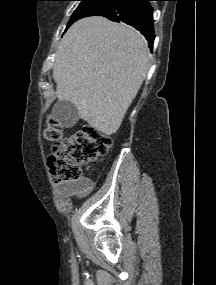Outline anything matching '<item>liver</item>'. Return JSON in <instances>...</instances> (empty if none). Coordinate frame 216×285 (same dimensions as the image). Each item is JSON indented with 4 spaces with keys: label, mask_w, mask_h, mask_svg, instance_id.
<instances>
[{
    "label": "liver",
    "mask_w": 216,
    "mask_h": 285,
    "mask_svg": "<svg viewBox=\"0 0 216 285\" xmlns=\"http://www.w3.org/2000/svg\"><path fill=\"white\" fill-rule=\"evenodd\" d=\"M145 38L104 17L75 22L62 38L53 78L59 101L72 102L98 131L117 132L149 70Z\"/></svg>",
    "instance_id": "liver-1"
}]
</instances>
